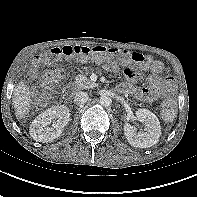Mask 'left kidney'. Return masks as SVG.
<instances>
[{"label":"left kidney","mask_w":197,"mask_h":197,"mask_svg":"<svg viewBox=\"0 0 197 197\" xmlns=\"http://www.w3.org/2000/svg\"><path fill=\"white\" fill-rule=\"evenodd\" d=\"M136 120L144 123L145 132H136L135 128L126 123L124 125V135L129 144L137 148H148L155 145L161 136V126L158 118L148 109H138Z\"/></svg>","instance_id":"1"}]
</instances>
